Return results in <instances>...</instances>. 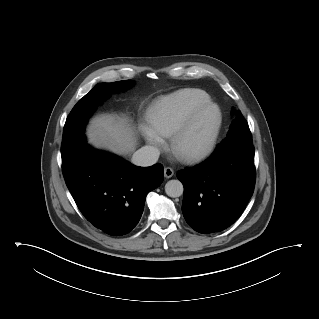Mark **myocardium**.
Segmentation results:
<instances>
[{"label":"myocardium","mask_w":319,"mask_h":319,"mask_svg":"<svg viewBox=\"0 0 319 319\" xmlns=\"http://www.w3.org/2000/svg\"><path fill=\"white\" fill-rule=\"evenodd\" d=\"M209 108L216 109L218 113V122L206 145L196 149L185 147V141L192 132L199 116ZM224 115L221 107L212 101H208L198 106L190 114L183 126L172 136L170 147L175 157L185 163H197L208 158L216 149L218 139L223 127Z\"/></svg>","instance_id":"myocardium-1"}]
</instances>
